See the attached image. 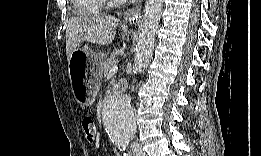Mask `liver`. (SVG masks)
<instances>
[{
    "label": "liver",
    "mask_w": 261,
    "mask_h": 156,
    "mask_svg": "<svg viewBox=\"0 0 261 156\" xmlns=\"http://www.w3.org/2000/svg\"><path fill=\"white\" fill-rule=\"evenodd\" d=\"M118 19L111 15L97 14L71 17L66 25V55L70 61L72 52L81 43L109 45L115 37Z\"/></svg>",
    "instance_id": "obj_1"
}]
</instances>
